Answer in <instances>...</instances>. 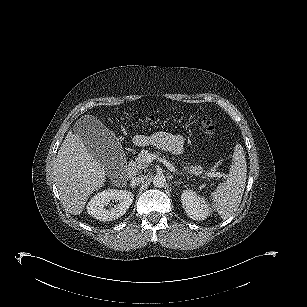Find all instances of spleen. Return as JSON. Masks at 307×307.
Segmentation results:
<instances>
[{
	"instance_id": "spleen-1",
	"label": "spleen",
	"mask_w": 307,
	"mask_h": 307,
	"mask_svg": "<svg viewBox=\"0 0 307 307\" xmlns=\"http://www.w3.org/2000/svg\"><path fill=\"white\" fill-rule=\"evenodd\" d=\"M247 179V166L243 148L236 146L233 162L224 183L210 194L212 209L224 218L233 215L241 203Z\"/></svg>"
}]
</instances>
